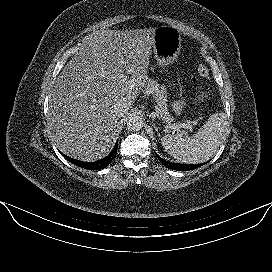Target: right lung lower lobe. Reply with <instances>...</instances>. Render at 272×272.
I'll return each instance as SVG.
<instances>
[{"instance_id": "1", "label": "right lung lower lobe", "mask_w": 272, "mask_h": 272, "mask_svg": "<svg viewBox=\"0 0 272 272\" xmlns=\"http://www.w3.org/2000/svg\"><path fill=\"white\" fill-rule=\"evenodd\" d=\"M117 148H118V142L115 144L114 146V149L112 150V152L104 159L102 160H99V161H96V162H92V163H89V162H82V161H78V160H75V159H72L64 154L61 153V155L67 159L68 161H70L71 163L79 166V167H82V168H85V169H89V170H100V169H103L105 167H107L111 161L115 158L116 156V152H117Z\"/></svg>"}]
</instances>
